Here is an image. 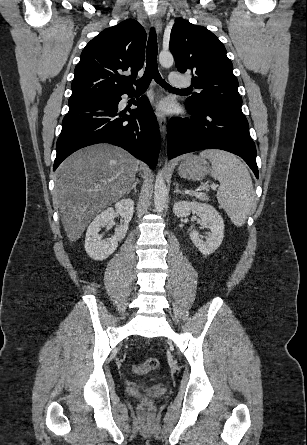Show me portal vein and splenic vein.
Listing matches in <instances>:
<instances>
[{
	"label": "portal vein and splenic vein",
	"instance_id": "portal-vein-and-splenic-vein-1",
	"mask_svg": "<svg viewBox=\"0 0 307 445\" xmlns=\"http://www.w3.org/2000/svg\"><path fill=\"white\" fill-rule=\"evenodd\" d=\"M211 188H213V190H216L218 184H215V182H213V184H210ZM205 188H208V186H205V184H203V186H199V188H197V190H205ZM192 196H204V192H193Z\"/></svg>",
	"mask_w": 307,
	"mask_h": 445
}]
</instances>
